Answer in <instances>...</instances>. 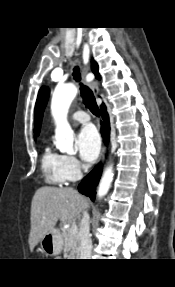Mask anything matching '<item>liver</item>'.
I'll use <instances>...</instances> for the list:
<instances>
[{
    "label": "liver",
    "instance_id": "1",
    "mask_svg": "<svg viewBox=\"0 0 175 287\" xmlns=\"http://www.w3.org/2000/svg\"><path fill=\"white\" fill-rule=\"evenodd\" d=\"M88 207V200L72 188L43 186L31 203L29 247L32 252L45 234L54 229L58 220L70 223Z\"/></svg>",
    "mask_w": 175,
    "mask_h": 287
}]
</instances>
